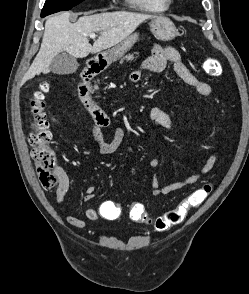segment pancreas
<instances>
[{
    "instance_id": "obj_1",
    "label": "pancreas",
    "mask_w": 249,
    "mask_h": 294,
    "mask_svg": "<svg viewBox=\"0 0 249 294\" xmlns=\"http://www.w3.org/2000/svg\"><path fill=\"white\" fill-rule=\"evenodd\" d=\"M135 54H138L137 52ZM135 58L134 54H128L120 60V64L124 61H132Z\"/></svg>"
}]
</instances>
